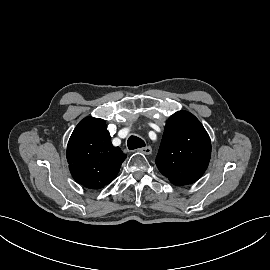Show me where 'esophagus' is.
I'll use <instances>...</instances> for the list:
<instances>
[{
	"instance_id": "34e87169",
	"label": "esophagus",
	"mask_w": 270,
	"mask_h": 270,
	"mask_svg": "<svg viewBox=\"0 0 270 270\" xmlns=\"http://www.w3.org/2000/svg\"><path fill=\"white\" fill-rule=\"evenodd\" d=\"M138 152L149 155L152 152V148L150 146H146V147H143V148H139Z\"/></svg>"
}]
</instances>
